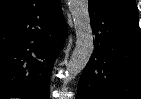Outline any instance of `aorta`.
<instances>
[{
	"label": "aorta",
	"mask_w": 141,
	"mask_h": 99,
	"mask_svg": "<svg viewBox=\"0 0 141 99\" xmlns=\"http://www.w3.org/2000/svg\"><path fill=\"white\" fill-rule=\"evenodd\" d=\"M74 28L76 46L67 65L66 86L87 65L93 52V34L88 10V0H68Z\"/></svg>",
	"instance_id": "762f6f07"
}]
</instances>
